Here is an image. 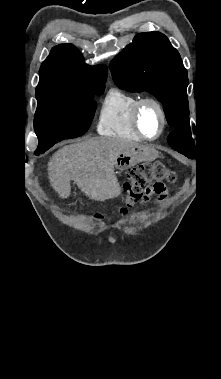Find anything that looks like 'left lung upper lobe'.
<instances>
[{
  "label": "left lung upper lobe",
  "instance_id": "5c2ea615",
  "mask_svg": "<svg viewBox=\"0 0 221 379\" xmlns=\"http://www.w3.org/2000/svg\"><path fill=\"white\" fill-rule=\"evenodd\" d=\"M114 82L130 92L147 91L163 104L166 119L174 127L169 145L194 158L186 88L187 70L178 51L160 32L137 34L110 64Z\"/></svg>",
  "mask_w": 221,
  "mask_h": 379
}]
</instances>
